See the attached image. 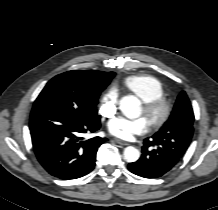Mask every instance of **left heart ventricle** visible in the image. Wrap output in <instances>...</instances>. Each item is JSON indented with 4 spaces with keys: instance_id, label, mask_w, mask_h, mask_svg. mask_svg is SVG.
Instances as JSON below:
<instances>
[{
    "instance_id": "b2bd125f",
    "label": "left heart ventricle",
    "mask_w": 218,
    "mask_h": 210,
    "mask_svg": "<svg viewBox=\"0 0 218 210\" xmlns=\"http://www.w3.org/2000/svg\"><path fill=\"white\" fill-rule=\"evenodd\" d=\"M142 114H144V111H143V109H142V112H141Z\"/></svg>"
}]
</instances>
